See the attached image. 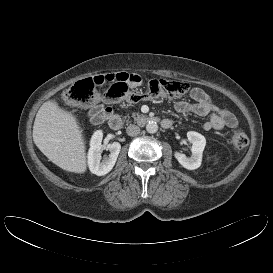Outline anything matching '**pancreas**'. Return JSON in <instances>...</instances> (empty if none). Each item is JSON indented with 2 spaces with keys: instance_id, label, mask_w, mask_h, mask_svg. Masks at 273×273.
Masks as SVG:
<instances>
[{
  "instance_id": "pancreas-1",
  "label": "pancreas",
  "mask_w": 273,
  "mask_h": 273,
  "mask_svg": "<svg viewBox=\"0 0 273 273\" xmlns=\"http://www.w3.org/2000/svg\"><path fill=\"white\" fill-rule=\"evenodd\" d=\"M132 117H133L134 119H138V118H140V115H139L138 113H133V114H132Z\"/></svg>"
}]
</instances>
